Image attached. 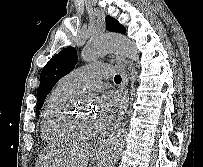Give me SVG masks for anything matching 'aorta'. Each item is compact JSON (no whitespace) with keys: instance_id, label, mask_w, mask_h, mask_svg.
<instances>
[{"instance_id":"1","label":"aorta","mask_w":203,"mask_h":167,"mask_svg":"<svg viewBox=\"0 0 203 167\" xmlns=\"http://www.w3.org/2000/svg\"><path fill=\"white\" fill-rule=\"evenodd\" d=\"M110 53H120L132 61L139 62L137 49L127 37L119 34H107L90 40L82 50V59L93 62ZM126 130L113 132L105 141L100 167H114L121 155L126 139Z\"/></svg>"}]
</instances>
